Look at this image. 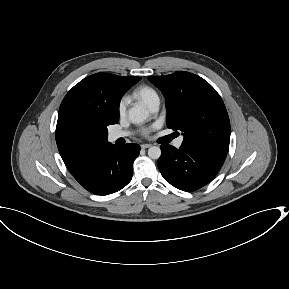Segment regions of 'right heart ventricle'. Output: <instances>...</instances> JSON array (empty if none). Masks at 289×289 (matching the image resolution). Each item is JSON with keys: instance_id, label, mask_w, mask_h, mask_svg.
<instances>
[{"instance_id": "obj_1", "label": "right heart ventricle", "mask_w": 289, "mask_h": 289, "mask_svg": "<svg viewBox=\"0 0 289 289\" xmlns=\"http://www.w3.org/2000/svg\"><path fill=\"white\" fill-rule=\"evenodd\" d=\"M133 96L141 101L143 104H145L147 107H149V105L156 99H158V95L156 93V91L149 87V86H141L139 88H137L134 93Z\"/></svg>"}]
</instances>
